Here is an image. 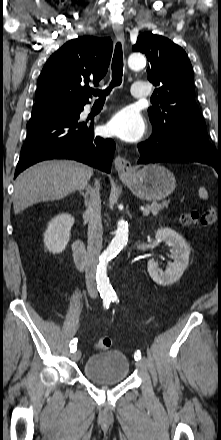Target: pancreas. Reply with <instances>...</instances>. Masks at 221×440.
<instances>
[{"label":"pancreas","instance_id":"pancreas-1","mask_svg":"<svg viewBox=\"0 0 221 440\" xmlns=\"http://www.w3.org/2000/svg\"><path fill=\"white\" fill-rule=\"evenodd\" d=\"M168 205L169 201H164L162 203H152L151 205H145L144 207L147 208L153 215H157L160 210L168 207Z\"/></svg>","mask_w":221,"mask_h":440}]
</instances>
